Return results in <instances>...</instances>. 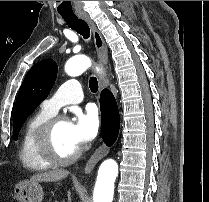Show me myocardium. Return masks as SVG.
Listing matches in <instances>:
<instances>
[{
  "instance_id": "1",
  "label": "myocardium",
  "mask_w": 209,
  "mask_h": 202,
  "mask_svg": "<svg viewBox=\"0 0 209 202\" xmlns=\"http://www.w3.org/2000/svg\"><path fill=\"white\" fill-rule=\"evenodd\" d=\"M64 121H66V117L62 115L49 118L41 126L36 139L37 152L46 162L56 166L71 164L78 160L82 153L81 148H78L73 154L66 157L56 152L53 145V135L57 126Z\"/></svg>"
}]
</instances>
